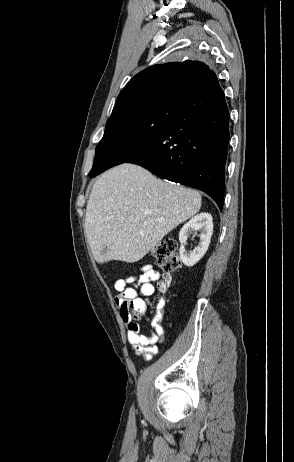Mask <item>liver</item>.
I'll return each mask as SVG.
<instances>
[{
	"label": "liver",
	"instance_id": "obj_1",
	"mask_svg": "<svg viewBox=\"0 0 294 462\" xmlns=\"http://www.w3.org/2000/svg\"><path fill=\"white\" fill-rule=\"evenodd\" d=\"M199 192L157 179L134 164L114 167L95 182L85 233L98 263L142 259L201 208Z\"/></svg>",
	"mask_w": 294,
	"mask_h": 462
}]
</instances>
